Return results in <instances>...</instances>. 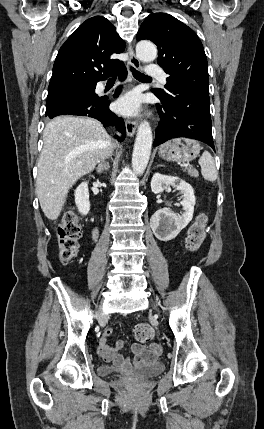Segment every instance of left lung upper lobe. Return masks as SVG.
<instances>
[{"mask_svg":"<svg viewBox=\"0 0 264 429\" xmlns=\"http://www.w3.org/2000/svg\"><path fill=\"white\" fill-rule=\"evenodd\" d=\"M149 12L136 38L149 39L157 45V63L169 75L165 90L152 91L166 99L172 92L173 83H181L209 94L207 59L198 36L169 14Z\"/></svg>","mask_w":264,"mask_h":429,"instance_id":"obj_1","label":"left lung upper lobe"}]
</instances>
